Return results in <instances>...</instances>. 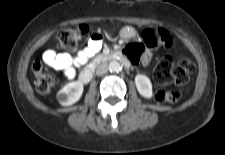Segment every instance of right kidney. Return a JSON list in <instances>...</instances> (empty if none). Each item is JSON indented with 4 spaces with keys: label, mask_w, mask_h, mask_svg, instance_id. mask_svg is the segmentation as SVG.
Instances as JSON below:
<instances>
[{
    "label": "right kidney",
    "mask_w": 225,
    "mask_h": 155,
    "mask_svg": "<svg viewBox=\"0 0 225 155\" xmlns=\"http://www.w3.org/2000/svg\"><path fill=\"white\" fill-rule=\"evenodd\" d=\"M83 83L74 81L66 84L58 93L57 100L63 106H69L76 103L82 96Z\"/></svg>",
    "instance_id": "right-kidney-1"
}]
</instances>
